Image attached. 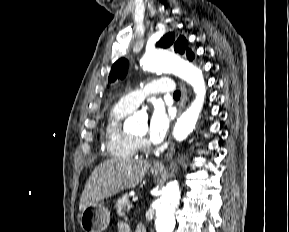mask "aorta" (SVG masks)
Returning a JSON list of instances; mask_svg holds the SVG:
<instances>
[{"mask_svg": "<svg viewBox=\"0 0 289 232\" xmlns=\"http://www.w3.org/2000/svg\"><path fill=\"white\" fill-rule=\"evenodd\" d=\"M140 64L147 71L174 73L193 87L196 98L178 119L173 130V136L176 140H184L195 128L203 107L206 85L202 71L191 63L178 59L162 49L147 52L141 59ZM136 126L137 119L135 117L129 118L125 123V128L128 130H132ZM179 199L178 182H169L163 189L161 197L156 201L155 228L157 232H172L174 230V213L179 204Z\"/></svg>", "mask_w": 289, "mask_h": 232, "instance_id": "762f6f07", "label": "aorta"}]
</instances>
